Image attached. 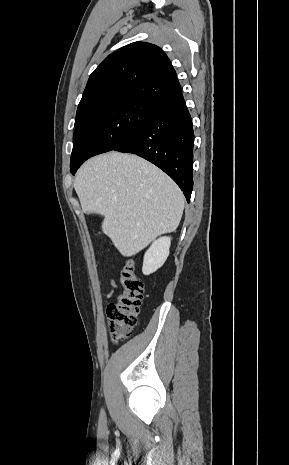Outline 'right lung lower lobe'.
<instances>
[{
	"instance_id": "right-lung-lower-lobe-1",
	"label": "right lung lower lobe",
	"mask_w": 289,
	"mask_h": 465,
	"mask_svg": "<svg viewBox=\"0 0 289 465\" xmlns=\"http://www.w3.org/2000/svg\"><path fill=\"white\" fill-rule=\"evenodd\" d=\"M193 145L192 120L180 92L159 102L151 119L113 150L136 154L158 166L178 184L189 202L193 190ZM83 162L71 168V173Z\"/></svg>"
}]
</instances>
